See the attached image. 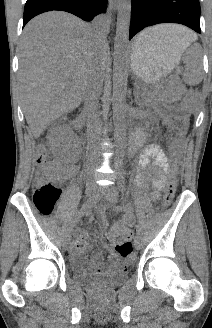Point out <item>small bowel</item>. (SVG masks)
I'll return each mask as SVG.
<instances>
[{
  "mask_svg": "<svg viewBox=\"0 0 212 328\" xmlns=\"http://www.w3.org/2000/svg\"><path fill=\"white\" fill-rule=\"evenodd\" d=\"M152 165V168L150 166ZM137 168L139 174L137 176V182L140 185H144L151 181L154 187L153 198L158 199L159 192L164 188L166 184V176L172 172V167L169 159L163 152V150L155 145L148 146L139 156L137 162ZM52 178L58 181L64 180L70 176H77L78 169L74 165H62L58 161H54L51 167ZM133 222V216L131 214H125L121 220L115 223V225L106 231V242L104 248L109 249L108 244L113 243L118 237L122 239H129L132 236L130 225ZM99 223L103 228L108 227V222L105 215L102 213L99 218ZM92 243L89 239V234L86 230L80 229L77 231V235L72 248V255L74 258L83 257L84 254L91 251ZM91 268L102 274L112 273L116 271L124 270V266L119 261L117 255L113 252H109L108 263L104 262L102 252H94L92 254Z\"/></svg>",
  "mask_w": 212,
  "mask_h": 328,
  "instance_id": "small-bowel-1",
  "label": "small bowel"
}]
</instances>
